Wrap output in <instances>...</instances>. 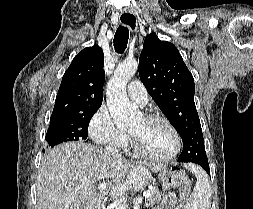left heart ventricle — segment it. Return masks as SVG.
Wrapping results in <instances>:
<instances>
[{
    "label": "left heart ventricle",
    "mask_w": 253,
    "mask_h": 209,
    "mask_svg": "<svg viewBox=\"0 0 253 209\" xmlns=\"http://www.w3.org/2000/svg\"><path fill=\"white\" fill-rule=\"evenodd\" d=\"M129 131L138 139L143 150L155 157H165L174 149V135L162 121L146 120L141 116Z\"/></svg>",
    "instance_id": "b2bd125f"
}]
</instances>
